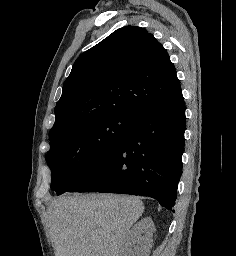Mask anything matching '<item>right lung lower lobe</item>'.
I'll use <instances>...</instances> for the list:
<instances>
[{
  "mask_svg": "<svg viewBox=\"0 0 236 256\" xmlns=\"http://www.w3.org/2000/svg\"><path fill=\"white\" fill-rule=\"evenodd\" d=\"M185 127L180 89L144 112L118 146L66 192L149 196L173 211L182 174Z\"/></svg>",
  "mask_w": 236,
  "mask_h": 256,
  "instance_id": "right-lung-lower-lobe-1",
  "label": "right lung lower lobe"
}]
</instances>
